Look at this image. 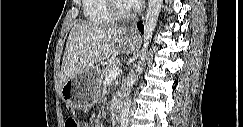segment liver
<instances>
[{"instance_id":"6515ba94","label":"liver","mask_w":243,"mask_h":127,"mask_svg":"<svg viewBox=\"0 0 243 127\" xmlns=\"http://www.w3.org/2000/svg\"><path fill=\"white\" fill-rule=\"evenodd\" d=\"M126 33L96 23L79 22L71 29L60 71V85L85 69L108 59Z\"/></svg>"}]
</instances>
